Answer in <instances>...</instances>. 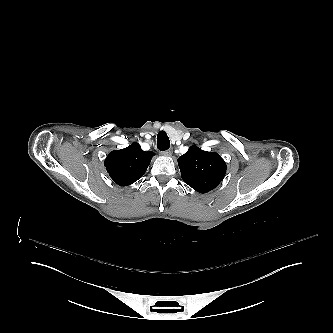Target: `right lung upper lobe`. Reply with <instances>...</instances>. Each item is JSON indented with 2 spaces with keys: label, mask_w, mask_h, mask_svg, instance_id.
Instances as JSON below:
<instances>
[{
  "label": "right lung upper lobe",
  "mask_w": 333,
  "mask_h": 333,
  "mask_svg": "<svg viewBox=\"0 0 333 333\" xmlns=\"http://www.w3.org/2000/svg\"><path fill=\"white\" fill-rule=\"evenodd\" d=\"M153 155V152L143 151L135 142L127 148L110 152L105 159V167L115 183L128 186L144 175Z\"/></svg>",
  "instance_id": "1"
}]
</instances>
